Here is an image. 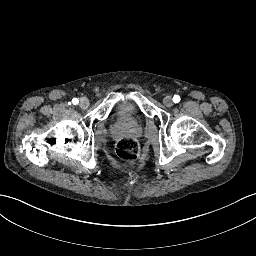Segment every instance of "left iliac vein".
Segmentation results:
<instances>
[{
    "label": "left iliac vein",
    "instance_id": "4c4485c4",
    "mask_svg": "<svg viewBox=\"0 0 256 256\" xmlns=\"http://www.w3.org/2000/svg\"><path fill=\"white\" fill-rule=\"evenodd\" d=\"M163 103L166 107H171L173 105V99L171 96H166L163 99Z\"/></svg>",
    "mask_w": 256,
    "mask_h": 256
}]
</instances>
